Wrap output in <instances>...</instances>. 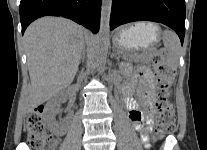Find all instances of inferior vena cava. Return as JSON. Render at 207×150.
Listing matches in <instances>:
<instances>
[{
    "mask_svg": "<svg viewBox=\"0 0 207 150\" xmlns=\"http://www.w3.org/2000/svg\"><path fill=\"white\" fill-rule=\"evenodd\" d=\"M83 78V76H80V79H82Z\"/></svg>",
    "mask_w": 207,
    "mask_h": 150,
    "instance_id": "1",
    "label": "inferior vena cava"
}]
</instances>
